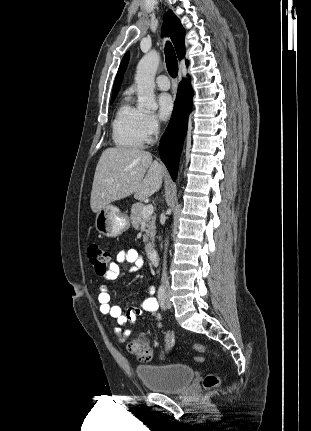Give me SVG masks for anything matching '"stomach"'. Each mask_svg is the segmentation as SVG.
<instances>
[{
    "label": "stomach",
    "mask_w": 311,
    "mask_h": 431,
    "mask_svg": "<svg viewBox=\"0 0 311 431\" xmlns=\"http://www.w3.org/2000/svg\"><path fill=\"white\" fill-rule=\"evenodd\" d=\"M129 227V217L127 214H122L117 206L109 204L106 208H102L100 212H96L95 229L98 233H101V235L117 237V235H121V233L129 229Z\"/></svg>",
    "instance_id": "1"
}]
</instances>
